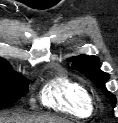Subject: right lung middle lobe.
Returning a JSON list of instances; mask_svg holds the SVG:
<instances>
[{
    "instance_id": "right-lung-middle-lobe-1",
    "label": "right lung middle lobe",
    "mask_w": 118,
    "mask_h": 123,
    "mask_svg": "<svg viewBox=\"0 0 118 123\" xmlns=\"http://www.w3.org/2000/svg\"><path fill=\"white\" fill-rule=\"evenodd\" d=\"M29 81L7 64H0V107L17 102L28 93Z\"/></svg>"
}]
</instances>
